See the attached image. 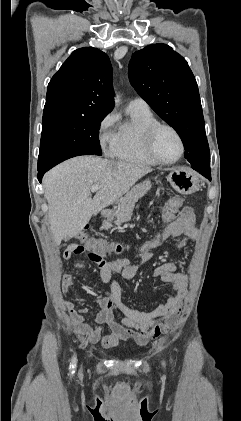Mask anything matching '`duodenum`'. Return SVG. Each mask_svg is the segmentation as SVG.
Wrapping results in <instances>:
<instances>
[{
  "mask_svg": "<svg viewBox=\"0 0 241 421\" xmlns=\"http://www.w3.org/2000/svg\"><path fill=\"white\" fill-rule=\"evenodd\" d=\"M110 214H111V211H110V210H108V209L103 210V211L101 212V216H102V217H104V218L109 217V216H110ZM117 250H120V248H119V249H117Z\"/></svg>",
  "mask_w": 241,
  "mask_h": 421,
  "instance_id": "410a0bca",
  "label": "duodenum"
}]
</instances>
